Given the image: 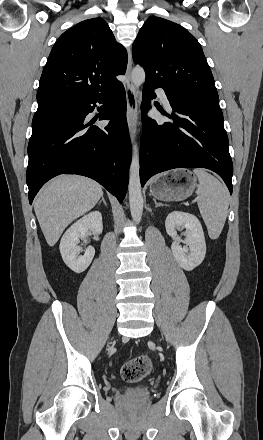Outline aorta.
<instances>
[{
  "label": "aorta",
  "mask_w": 263,
  "mask_h": 440,
  "mask_svg": "<svg viewBox=\"0 0 263 440\" xmlns=\"http://www.w3.org/2000/svg\"><path fill=\"white\" fill-rule=\"evenodd\" d=\"M131 81L135 88H139L145 81V71L137 66L131 73ZM139 150L137 144L132 147V160L129 169V204L134 222L139 223L143 213V197L140 183Z\"/></svg>",
  "instance_id": "762f6f07"
}]
</instances>
